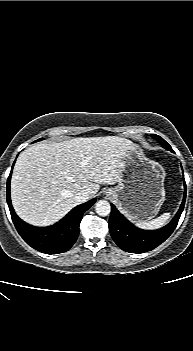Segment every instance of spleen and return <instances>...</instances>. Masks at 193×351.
Masks as SVG:
<instances>
[{"label": "spleen", "mask_w": 193, "mask_h": 351, "mask_svg": "<svg viewBox=\"0 0 193 351\" xmlns=\"http://www.w3.org/2000/svg\"><path fill=\"white\" fill-rule=\"evenodd\" d=\"M170 216V213H164L151 221L137 222L136 225L142 229H158L166 224Z\"/></svg>", "instance_id": "obj_1"}]
</instances>
